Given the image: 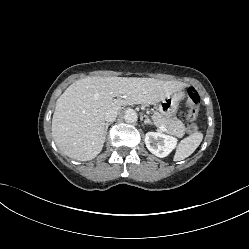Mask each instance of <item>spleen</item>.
<instances>
[{
  "mask_svg": "<svg viewBox=\"0 0 249 249\" xmlns=\"http://www.w3.org/2000/svg\"><path fill=\"white\" fill-rule=\"evenodd\" d=\"M203 139L201 132H195L192 135L183 139L174 156V161H180L189 157L200 145Z\"/></svg>",
  "mask_w": 249,
  "mask_h": 249,
  "instance_id": "spleen-1",
  "label": "spleen"
}]
</instances>
